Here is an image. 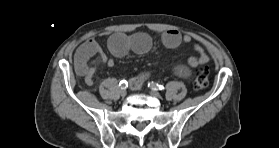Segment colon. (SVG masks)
I'll return each instance as SVG.
<instances>
[{"instance_id": "colon-1", "label": "colon", "mask_w": 279, "mask_h": 148, "mask_svg": "<svg viewBox=\"0 0 279 148\" xmlns=\"http://www.w3.org/2000/svg\"><path fill=\"white\" fill-rule=\"evenodd\" d=\"M209 83V69L207 67H200L196 73L193 81L195 90H202L208 86Z\"/></svg>"}]
</instances>
